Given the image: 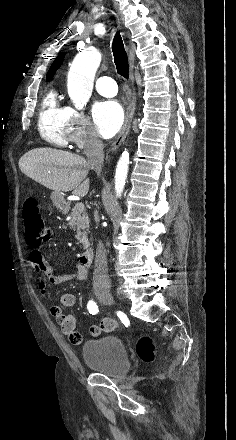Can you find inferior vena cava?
I'll return each instance as SVG.
<instances>
[{"label":"inferior vena cava","mask_w":236,"mask_h":440,"mask_svg":"<svg viewBox=\"0 0 236 440\" xmlns=\"http://www.w3.org/2000/svg\"><path fill=\"white\" fill-rule=\"evenodd\" d=\"M104 145L97 136H91L85 145V154L88 158V165L97 174L101 172V166L104 158ZM110 280L107 268L106 249L101 241H99L96 249L95 266L93 273V288H110Z\"/></svg>","instance_id":"602c4592"}]
</instances>
